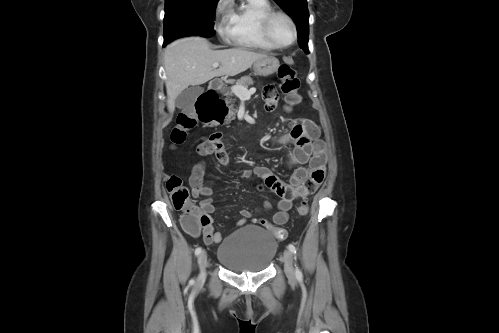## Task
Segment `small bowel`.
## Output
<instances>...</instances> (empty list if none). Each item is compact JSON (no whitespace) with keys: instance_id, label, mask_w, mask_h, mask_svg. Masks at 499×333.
Returning a JSON list of instances; mask_svg holds the SVG:
<instances>
[{"instance_id":"1","label":"small bowel","mask_w":499,"mask_h":333,"mask_svg":"<svg viewBox=\"0 0 499 333\" xmlns=\"http://www.w3.org/2000/svg\"><path fill=\"white\" fill-rule=\"evenodd\" d=\"M263 96L267 110H273L278 99L275 88L272 85H267L264 88ZM319 135V128L309 119H296L291 122L289 131L285 136V141L292 145L287 164L293 168V172L288 183L280 180L266 167H256L240 172L242 178H250L254 175L259 177L263 181V185L279 197L277 211L272 215V222L275 225L285 224L289 219V211L293 207L294 200L314 193L325 178L327 156L325 144ZM197 153L201 156L214 155L223 166L229 164V156L220 132H215L204 139L198 145ZM204 173V163L196 164L192 169L189 184L193 197H203L200 207L209 217L215 210L212 199L213 183L204 181ZM265 207L270 210L272 205L265 202ZM239 214L241 217L236 221V225L243 226L251 217V211L242 209ZM221 240L222 235L213 231H211L210 239H204L207 244H217Z\"/></svg>"}]
</instances>
